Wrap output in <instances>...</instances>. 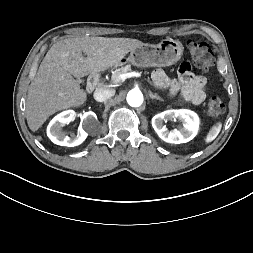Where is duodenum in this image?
<instances>
[{
	"label": "duodenum",
	"instance_id": "duodenum-1",
	"mask_svg": "<svg viewBox=\"0 0 253 253\" xmlns=\"http://www.w3.org/2000/svg\"><path fill=\"white\" fill-rule=\"evenodd\" d=\"M98 82H99V74L96 73L91 75L87 82L86 86L87 91L92 92L98 85Z\"/></svg>",
	"mask_w": 253,
	"mask_h": 253
}]
</instances>
